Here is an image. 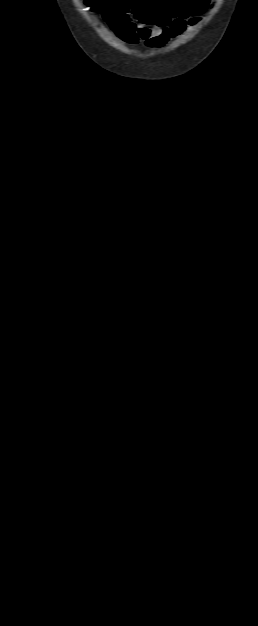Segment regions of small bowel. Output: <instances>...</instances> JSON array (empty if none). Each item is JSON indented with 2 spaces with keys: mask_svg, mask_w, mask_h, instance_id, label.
Masks as SVG:
<instances>
[{
  "mask_svg": "<svg viewBox=\"0 0 258 626\" xmlns=\"http://www.w3.org/2000/svg\"><path fill=\"white\" fill-rule=\"evenodd\" d=\"M93 7L103 8L110 27L130 45L143 42L148 48H161L181 35L206 11L210 0H174L167 2L152 21L135 24L128 10H118L116 0H89Z\"/></svg>",
  "mask_w": 258,
  "mask_h": 626,
  "instance_id": "c3829d8e",
  "label": "small bowel"
}]
</instances>
